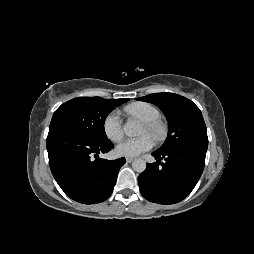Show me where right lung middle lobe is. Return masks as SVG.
<instances>
[{
    "label": "right lung middle lobe",
    "instance_id": "obj_1",
    "mask_svg": "<svg viewBox=\"0 0 254 254\" xmlns=\"http://www.w3.org/2000/svg\"><path fill=\"white\" fill-rule=\"evenodd\" d=\"M129 99H125L127 102ZM111 99L77 97L62 104L53 114L50 129L62 128L95 141H106L105 119L117 106Z\"/></svg>",
    "mask_w": 254,
    "mask_h": 254
}]
</instances>
